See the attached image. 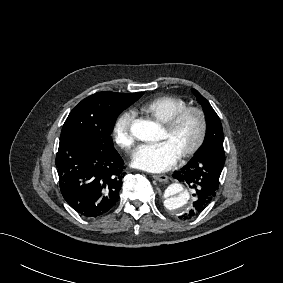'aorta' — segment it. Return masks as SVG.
<instances>
[{
    "instance_id": "1",
    "label": "aorta",
    "mask_w": 283,
    "mask_h": 283,
    "mask_svg": "<svg viewBox=\"0 0 283 283\" xmlns=\"http://www.w3.org/2000/svg\"><path fill=\"white\" fill-rule=\"evenodd\" d=\"M161 127L148 120H136L131 126L132 134L141 141H155L160 138ZM164 207L177 215L187 213L192 206L190 190L183 184H170L163 192Z\"/></svg>"
}]
</instances>
